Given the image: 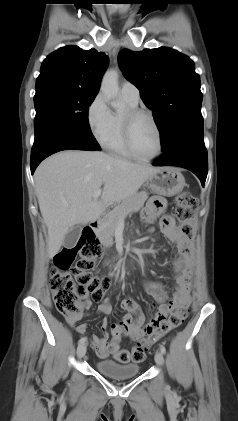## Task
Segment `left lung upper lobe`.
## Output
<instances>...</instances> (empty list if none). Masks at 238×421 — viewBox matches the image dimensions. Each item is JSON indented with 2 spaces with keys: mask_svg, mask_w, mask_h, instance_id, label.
Here are the masks:
<instances>
[{
  "mask_svg": "<svg viewBox=\"0 0 238 421\" xmlns=\"http://www.w3.org/2000/svg\"><path fill=\"white\" fill-rule=\"evenodd\" d=\"M118 61L124 76L152 109L163 150L187 129L203 125L200 78L190 58L159 47L142 52L123 49Z\"/></svg>",
  "mask_w": 238,
  "mask_h": 421,
  "instance_id": "1",
  "label": "left lung upper lobe"
}]
</instances>
